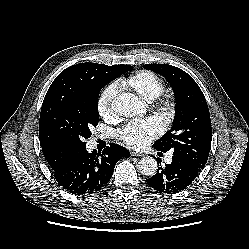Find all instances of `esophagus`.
Here are the masks:
<instances>
[{
	"label": "esophagus",
	"instance_id": "esophagus-1",
	"mask_svg": "<svg viewBox=\"0 0 249 249\" xmlns=\"http://www.w3.org/2000/svg\"><path fill=\"white\" fill-rule=\"evenodd\" d=\"M130 154H131V156H135V157H141V156H143L142 153L134 152V151H131Z\"/></svg>",
	"mask_w": 249,
	"mask_h": 249
}]
</instances>
